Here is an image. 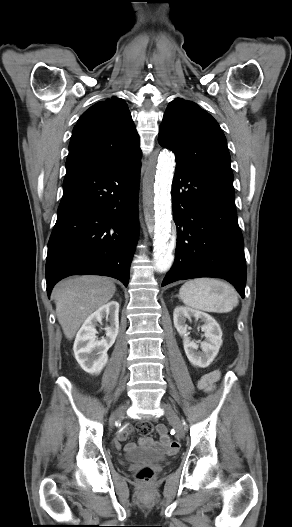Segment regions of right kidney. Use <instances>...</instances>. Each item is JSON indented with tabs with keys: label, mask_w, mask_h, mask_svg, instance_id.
<instances>
[{
	"label": "right kidney",
	"mask_w": 292,
	"mask_h": 527,
	"mask_svg": "<svg viewBox=\"0 0 292 527\" xmlns=\"http://www.w3.org/2000/svg\"><path fill=\"white\" fill-rule=\"evenodd\" d=\"M119 303L111 301L91 314L76 335L73 350L81 368L90 374H98L108 361L107 351L114 344L119 331ZM103 318L110 326L105 328L106 337L96 340V325Z\"/></svg>",
	"instance_id": "ca27d5eb"
}]
</instances>
